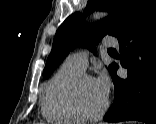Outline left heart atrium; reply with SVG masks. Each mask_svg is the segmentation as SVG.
<instances>
[{
	"label": "left heart atrium",
	"mask_w": 156,
	"mask_h": 124,
	"mask_svg": "<svg viewBox=\"0 0 156 124\" xmlns=\"http://www.w3.org/2000/svg\"><path fill=\"white\" fill-rule=\"evenodd\" d=\"M94 82L105 98L108 97L110 91V81L106 73H101Z\"/></svg>",
	"instance_id": "left-heart-atrium-1"
}]
</instances>
